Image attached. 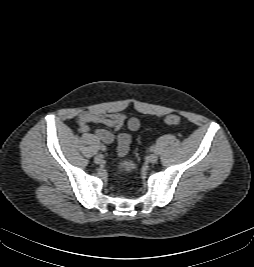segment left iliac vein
Returning <instances> with one entry per match:
<instances>
[{
    "label": "left iliac vein",
    "instance_id": "obj_1",
    "mask_svg": "<svg viewBox=\"0 0 254 267\" xmlns=\"http://www.w3.org/2000/svg\"><path fill=\"white\" fill-rule=\"evenodd\" d=\"M158 160V156L156 154H151L148 156V161L152 164L156 163Z\"/></svg>",
    "mask_w": 254,
    "mask_h": 267
}]
</instances>
